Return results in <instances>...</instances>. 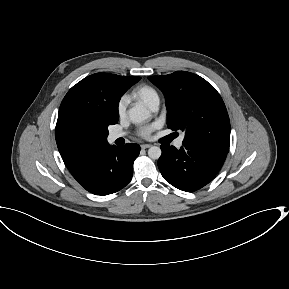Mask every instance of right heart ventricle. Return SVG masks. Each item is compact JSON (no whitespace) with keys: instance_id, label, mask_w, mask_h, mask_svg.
Wrapping results in <instances>:
<instances>
[{"instance_id":"e07e8e85","label":"right heart ventricle","mask_w":289,"mask_h":289,"mask_svg":"<svg viewBox=\"0 0 289 289\" xmlns=\"http://www.w3.org/2000/svg\"><path fill=\"white\" fill-rule=\"evenodd\" d=\"M132 97L141 101L148 107H150L153 104V102L159 100L156 90L153 87L148 86V85H142V86L137 87L133 91Z\"/></svg>"}]
</instances>
